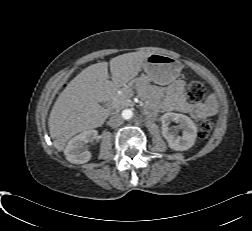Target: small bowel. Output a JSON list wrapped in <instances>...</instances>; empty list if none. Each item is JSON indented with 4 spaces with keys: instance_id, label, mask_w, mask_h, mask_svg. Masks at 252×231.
I'll list each match as a JSON object with an SVG mask.
<instances>
[{
    "instance_id": "1",
    "label": "small bowel",
    "mask_w": 252,
    "mask_h": 231,
    "mask_svg": "<svg viewBox=\"0 0 252 231\" xmlns=\"http://www.w3.org/2000/svg\"><path fill=\"white\" fill-rule=\"evenodd\" d=\"M175 109L182 113H189L195 119H204L208 116L209 110L203 104L190 105L182 98L175 101Z\"/></svg>"
}]
</instances>
